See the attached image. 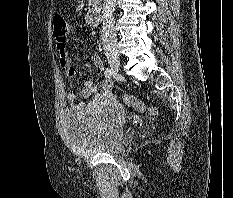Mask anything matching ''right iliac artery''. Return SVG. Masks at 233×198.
<instances>
[{
  "mask_svg": "<svg viewBox=\"0 0 233 198\" xmlns=\"http://www.w3.org/2000/svg\"><path fill=\"white\" fill-rule=\"evenodd\" d=\"M113 75V71L110 68H106L105 70V76L110 78Z\"/></svg>",
  "mask_w": 233,
  "mask_h": 198,
  "instance_id": "1",
  "label": "right iliac artery"
}]
</instances>
